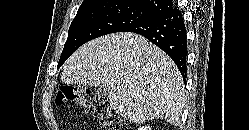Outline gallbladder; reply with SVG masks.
Returning <instances> with one entry per match:
<instances>
[{"mask_svg":"<svg viewBox=\"0 0 249 130\" xmlns=\"http://www.w3.org/2000/svg\"><path fill=\"white\" fill-rule=\"evenodd\" d=\"M96 94L101 97H106L108 95L107 88L103 85L96 87Z\"/></svg>","mask_w":249,"mask_h":130,"instance_id":"gallbladder-1","label":"gallbladder"}]
</instances>
